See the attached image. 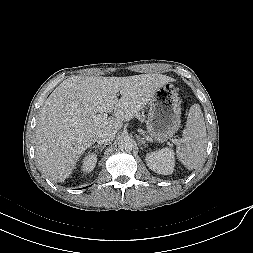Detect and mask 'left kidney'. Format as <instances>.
Returning a JSON list of instances; mask_svg holds the SVG:
<instances>
[{
  "label": "left kidney",
  "mask_w": 253,
  "mask_h": 253,
  "mask_svg": "<svg viewBox=\"0 0 253 253\" xmlns=\"http://www.w3.org/2000/svg\"><path fill=\"white\" fill-rule=\"evenodd\" d=\"M147 166L158 174L169 175L175 166L174 153L169 148H163L146 155Z\"/></svg>",
  "instance_id": "left-kidney-1"
}]
</instances>
